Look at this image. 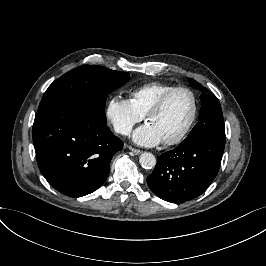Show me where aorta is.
I'll return each instance as SVG.
<instances>
[{"mask_svg":"<svg viewBox=\"0 0 266 266\" xmlns=\"http://www.w3.org/2000/svg\"><path fill=\"white\" fill-rule=\"evenodd\" d=\"M139 162L144 169H152L156 165V158L150 152H144L139 157Z\"/></svg>","mask_w":266,"mask_h":266,"instance_id":"762f6f07","label":"aorta"}]
</instances>
